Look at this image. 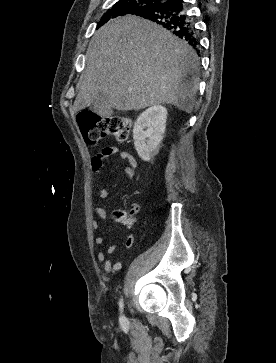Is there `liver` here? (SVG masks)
<instances>
[{"label": "liver", "instance_id": "obj_1", "mask_svg": "<svg viewBox=\"0 0 276 363\" xmlns=\"http://www.w3.org/2000/svg\"><path fill=\"white\" fill-rule=\"evenodd\" d=\"M74 110L99 93L118 111L171 104L190 113L199 83L193 48L163 27L137 16L112 19L95 32L86 52Z\"/></svg>", "mask_w": 276, "mask_h": 363}]
</instances>
